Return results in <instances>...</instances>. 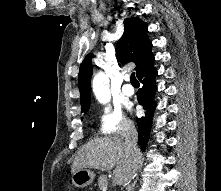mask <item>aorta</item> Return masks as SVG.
Returning <instances> with one entry per match:
<instances>
[{"label":"aorta","mask_w":221,"mask_h":191,"mask_svg":"<svg viewBox=\"0 0 221 191\" xmlns=\"http://www.w3.org/2000/svg\"><path fill=\"white\" fill-rule=\"evenodd\" d=\"M92 88L95 97L101 103H107L110 100V90L108 79L104 72H99L95 75L92 81Z\"/></svg>","instance_id":"obj_1"}]
</instances>
